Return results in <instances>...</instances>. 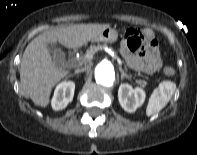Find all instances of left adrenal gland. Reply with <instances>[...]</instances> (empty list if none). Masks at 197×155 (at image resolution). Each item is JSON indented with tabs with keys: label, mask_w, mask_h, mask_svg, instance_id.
<instances>
[{
	"label": "left adrenal gland",
	"mask_w": 197,
	"mask_h": 155,
	"mask_svg": "<svg viewBox=\"0 0 197 155\" xmlns=\"http://www.w3.org/2000/svg\"><path fill=\"white\" fill-rule=\"evenodd\" d=\"M119 70L121 72V80H123L124 78L129 79V76L124 72V70L121 67H119Z\"/></svg>",
	"instance_id": "left-adrenal-gland-1"
}]
</instances>
